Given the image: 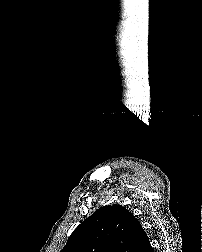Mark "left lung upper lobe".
Here are the masks:
<instances>
[{"mask_svg":"<svg viewBox=\"0 0 202 252\" xmlns=\"http://www.w3.org/2000/svg\"><path fill=\"white\" fill-rule=\"evenodd\" d=\"M140 228L126 208L104 206L81 222L61 252H134Z\"/></svg>","mask_w":202,"mask_h":252,"instance_id":"left-lung-upper-lobe-1","label":"left lung upper lobe"}]
</instances>
